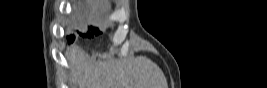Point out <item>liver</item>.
Returning <instances> with one entry per match:
<instances>
[{"label": "liver", "mask_w": 267, "mask_h": 88, "mask_svg": "<svg viewBox=\"0 0 267 88\" xmlns=\"http://www.w3.org/2000/svg\"><path fill=\"white\" fill-rule=\"evenodd\" d=\"M65 56L80 88H168L162 70L146 57L91 63L78 46L67 49Z\"/></svg>", "instance_id": "6515ba94"}]
</instances>
